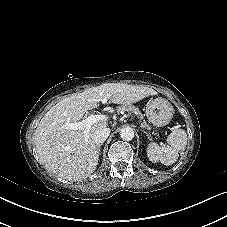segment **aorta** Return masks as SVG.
I'll list each match as a JSON object with an SVG mask.
<instances>
[{
  "label": "aorta",
  "mask_w": 227,
  "mask_h": 227,
  "mask_svg": "<svg viewBox=\"0 0 227 227\" xmlns=\"http://www.w3.org/2000/svg\"><path fill=\"white\" fill-rule=\"evenodd\" d=\"M120 137L125 141H130L134 138V131L130 127L122 128L120 131Z\"/></svg>",
  "instance_id": "aorta-1"
}]
</instances>
